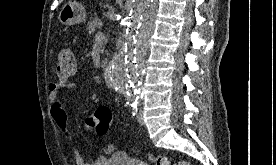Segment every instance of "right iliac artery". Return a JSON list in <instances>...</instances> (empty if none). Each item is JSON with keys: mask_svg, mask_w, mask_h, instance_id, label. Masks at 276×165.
I'll use <instances>...</instances> for the list:
<instances>
[{"mask_svg": "<svg viewBox=\"0 0 276 165\" xmlns=\"http://www.w3.org/2000/svg\"><path fill=\"white\" fill-rule=\"evenodd\" d=\"M127 104H128L129 106L132 107V106H134L135 104H137V99H136V100L128 101Z\"/></svg>", "mask_w": 276, "mask_h": 165, "instance_id": "1", "label": "right iliac artery"}]
</instances>
